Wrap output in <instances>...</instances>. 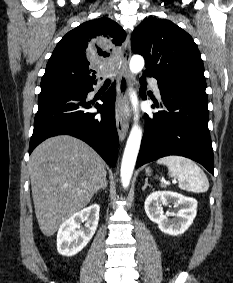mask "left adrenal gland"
<instances>
[{"label": "left adrenal gland", "instance_id": "left-adrenal-gland-1", "mask_svg": "<svg viewBox=\"0 0 233 283\" xmlns=\"http://www.w3.org/2000/svg\"><path fill=\"white\" fill-rule=\"evenodd\" d=\"M147 186L152 187L151 185L148 184V178L145 179V184H144L142 190L144 191L147 188Z\"/></svg>", "mask_w": 233, "mask_h": 283}]
</instances>
